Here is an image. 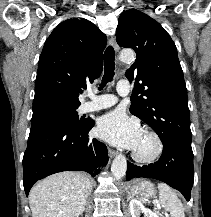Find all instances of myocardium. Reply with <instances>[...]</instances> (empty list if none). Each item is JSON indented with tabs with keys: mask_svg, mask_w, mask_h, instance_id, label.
<instances>
[{
	"mask_svg": "<svg viewBox=\"0 0 211 217\" xmlns=\"http://www.w3.org/2000/svg\"><path fill=\"white\" fill-rule=\"evenodd\" d=\"M143 134L150 137L154 141L155 148L153 152L148 155H141L134 150L132 157L139 163L150 164L157 161L161 157L164 151V143L160 135L153 130H145Z\"/></svg>",
	"mask_w": 211,
	"mask_h": 217,
	"instance_id": "obj_1",
	"label": "myocardium"
}]
</instances>
